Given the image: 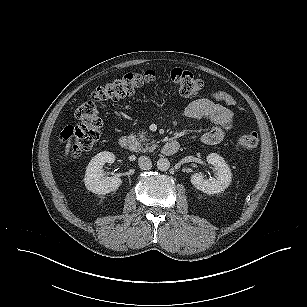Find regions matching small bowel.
I'll return each instance as SVG.
<instances>
[{"label":"small bowel","mask_w":307,"mask_h":307,"mask_svg":"<svg viewBox=\"0 0 307 307\" xmlns=\"http://www.w3.org/2000/svg\"><path fill=\"white\" fill-rule=\"evenodd\" d=\"M235 99L223 91L213 92L209 96L190 102L185 108V115L192 119H206L212 126L203 132V143L213 145L221 142L232 128Z\"/></svg>","instance_id":"c3829d8e"}]
</instances>
